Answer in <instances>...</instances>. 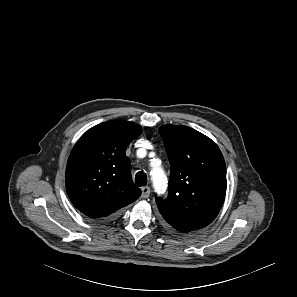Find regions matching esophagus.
<instances>
[{
	"label": "esophagus",
	"instance_id": "34e87169",
	"mask_svg": "<svg viewBox=\"0 0 297 297\" xmlns=\"http://www.w3.org/2000/svg\"><path fill=\"white\" fill-rule=\"evenodd\" d=\"M150 195V187L144 186L141 188V196L142 198H148Z\"/></svg>",
	"mask_w": 297,
	"mask_h": 297
}]
</instances>
